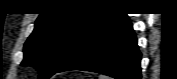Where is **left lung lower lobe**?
I'll return each instance as SVG.
<instances>
[{
    "mask_svg": "<svg viewBox=\"0 0 177 79\" xmlns=\"http://www.w3.org/2000/svg\"><path fill=\"white\" fill-rule=\"evenodd\" d=\"M137 39L126 14L108 13L74 48L56 73L97 72L116 79H140Z\"/></svg>",
    "mask_w": 177,
    "mask_h": 79,
    "instance_id": "obj_1",
    "label": "left lung lower lobe"
}]
</instances>
